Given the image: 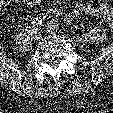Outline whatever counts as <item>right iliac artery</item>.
Instances as JSON below:
<instances>
[{
  "label": "right iliac artery",
  "instance_id": "obj_1",
  "mask_svg": "<svg viewBox=\"0 0 113 113\" xmlns=\"http://www.w3.org/2000/svg\"><path fill=\"white\" fill-rule=\"evenodd\" d=\"M53 13H55V11L52 10V9H48L46 14L45 13H40L37 17H35L33 19V21L31 22V24L26 27V30H28L29 32L30 31H33L38 25H41L42 24V22L45 20V18L47 16H50ZM57 14L60 15L62 13H57Z\"/></svg>",
  "mask_w": 113,
  "mask_h": 113
}]
</instances>
